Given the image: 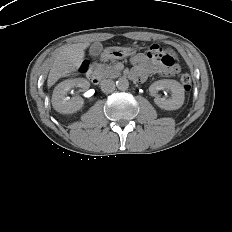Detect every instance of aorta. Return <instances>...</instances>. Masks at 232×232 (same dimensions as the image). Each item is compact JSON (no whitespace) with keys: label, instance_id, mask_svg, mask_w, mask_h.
<instances>
[{"label":"aorta","instance_id":"obj_1","mask_svg":"<svg viewBox=\"0 0 232 232\" xmlns=\"http://www.w3.org/2000/svg\"><path fill=\"white\" fill-rule=\"evenodd\" d=\"M116 86L119 90H127L129 88V82L125 77H121L116 81Z\"/></svg>","mask_w":232,"mask_h":232}]
</instances>
